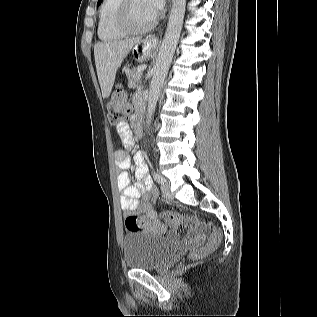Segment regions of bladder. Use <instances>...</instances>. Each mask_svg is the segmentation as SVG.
<instances>
[{
	"label": "bladder",
	"mask_w": 317,
	"mask_h": 317,
	"mask_svg": "<svg viewBox=\"0 0 317 317\" xmlns=\"http://www.w3.org/2000/svg\"><path fill=\"white\" fill-rule=\"evenodd\" d=\"M172 242L149 231H133L123 239V256L127 267L153 270L163 267L174 256Z\"/></svg>",
	"instance_id": "bladder-1"
}]
</instances>
